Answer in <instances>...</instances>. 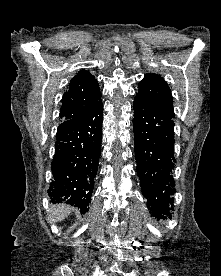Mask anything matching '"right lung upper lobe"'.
I'll return each mask as SVG.
<instances>
[{
	"instance_id": "obj_1",
	"label": "right lung upper lobe",
	"mask_w": 221,
	"mask_h": 276,
	"mask_svg": "<svg viewBox=\"0 0 221 276\" xmlns=\"http://www.w3.org/2000/svg\"><path fill=\"white\" fill-rule=\"evenodd\" d=\"M101 101L97 80L89 71L81 70L71 79L63 95L59 117L62 122L83 118Z\"/></svg>"
}]
</instances>
